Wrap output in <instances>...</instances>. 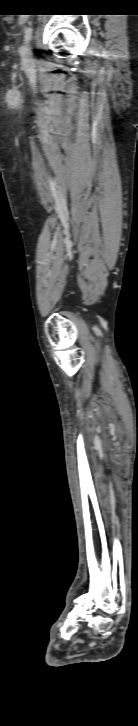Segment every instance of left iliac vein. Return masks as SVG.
<instances>
[{
  "label": "left iliac vein",
  "instance_id": "1",
  "mask_svg": "<svg viewBox=\"0 0 138 726\" xmlns=\"http://www.w3.org/2000/svg\"><path fill=\"white\" fill-rule=\"evenodd\" d=\"M20 53L24 63H29L33 60L31 46L28 43L21 47Z\"/></svg>",
  "mask_w": 138,
  "mask_h": 726
}]
</instances>
